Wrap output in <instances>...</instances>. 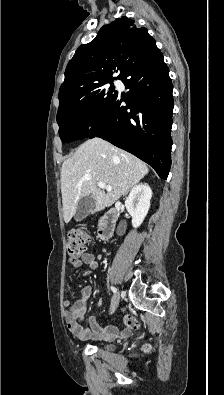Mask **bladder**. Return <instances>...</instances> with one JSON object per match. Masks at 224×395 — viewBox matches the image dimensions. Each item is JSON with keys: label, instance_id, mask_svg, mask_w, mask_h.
I'll use <instances>...</instances> for the list:
<instances>
[{"label": "bladder", "instance_id": "31cf9c89", "mask_svg": "<svg viewBox=\"0 0 224 395\" xmlns=\"http://www.w3.org/2000/svg\"><path fill=\"white\" fill-rule=\"evenodd\" d=\"M99 347L104 350H112L113 349V346L110 344H100Z\"/></svg>", "mask_w": 224, "mask_h": 395}]
</instances>
